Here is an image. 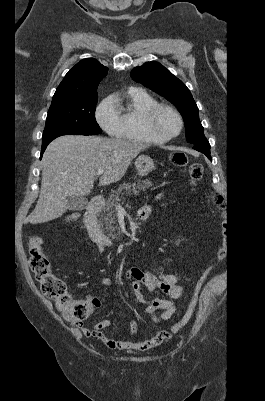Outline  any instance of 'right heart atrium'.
I'll list each match as a JSON object with an SVG mask.
<instances>
[{
  "label": "right heart atrium",
  "mask_w": 265,
  "mask_h": 401,
  "mask_svg": "<svg viewBox=\"0 0 265 401\" xmlns=\"http://www.w3.org/2000/svg\"><path fill=\"white\" fill-rule=\"evenodd\" d=\"M95 117L99 125L109 133H115L119 127L120 116L111 96L105 97L97 105Z\"/></svg>",
  "instance_id": "right-heart-atrium-1"
}]
</instances>
